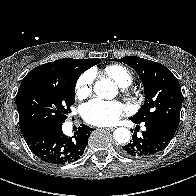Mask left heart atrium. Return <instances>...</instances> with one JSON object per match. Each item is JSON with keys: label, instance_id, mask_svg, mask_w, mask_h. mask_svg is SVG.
<instances>
[{"label": "left heart atrium", "instance_id": "39dd6f15", "mask_svg": "<svg viewBox=\"0 0 196 196\" xmlns=\"http://www.w3.org/2000/svg\"><path fill=\"white\" fill-rule=\"evenodd\" d=\"M127 110L119 101L94 99L83 105L82 117L92 125L108 126L115 123Z\"/></svg>", "mask_w": 196, "mask_h": 196}]
</instances>
